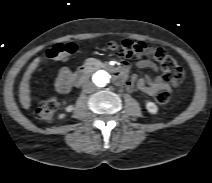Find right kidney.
I'll use <instances>...</instances> for the list:
<instances>
[{
	"label": "right kidney",
	"mask_w": 212,
	"mask_h": 183,
	"mask_svg": "<svg viewBox=\"0 0 212 183\" xmlns=\"http://www.w3.org/2000/svg\"><path fill=\"white\" fill-rule=\"evenodd\" d=\"M74 109L73 105H68L66 108H65V111L66 112H71L72 110ZM66 115L65 114H61L59 116L60 119H63Z\"/></svg>",
	"instance_id": "1"
}]
</instances>
